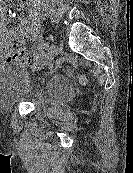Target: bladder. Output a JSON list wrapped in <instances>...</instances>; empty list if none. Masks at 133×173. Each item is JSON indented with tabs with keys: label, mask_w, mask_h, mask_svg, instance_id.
<instances>
[{
	"label": "bladder",
	"mask_w": 133,
	"mask_h": 173,
	"mask_svg": "<svg viewBox=\"0 0 133 173\" xmlns=\"http://www.w3.org/2000/svg\"><path fill=\"white\" fill-rule=\"evenodd\" d=\"M69 86L62 79H52L41 86L28 77L21 65L9 64L0 67V105H12L21 100H35L42 93L50 97L63 98Z\"/></svg>",
	"instance_id": "1"
}]
</instances>
